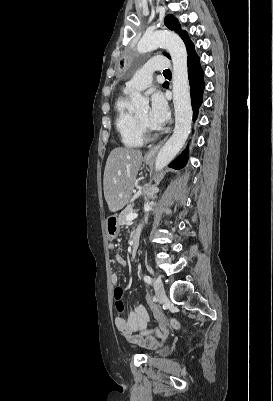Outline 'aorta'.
<instances>
[{
  "mask_svg": "<svg viewBox=\"0 0 273 401\" xmlns=\"http://www.w3.org/2000/svg\"><path fill=\"white\" fill-rule=\"evenodd\" d=\"M163 47L169 52L173 64V103L175 111V127L172 136L160 149L156 160L155 170H162L178 154L184 146L192 125V106L187 67V50L182 39L169 31L146 33L138 43L139 53H147ZM135 110L143 111L148 108V100L139 93L132 97Z\"/></svg>",
  "mask_w": 273,
  "mask_h": 401,
  "instance_id": "1",
  "label": "aorta"
}]
</instances>
